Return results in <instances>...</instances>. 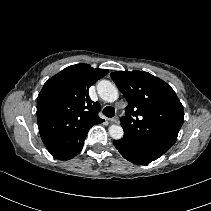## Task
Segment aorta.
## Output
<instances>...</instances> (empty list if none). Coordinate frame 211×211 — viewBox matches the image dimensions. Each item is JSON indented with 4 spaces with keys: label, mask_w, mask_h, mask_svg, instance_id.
I'll list each match as a JSON object with an SVG mask.
<instances>
[{
    "label": "aorta",
    "mask_w": 211,
    "mask_h": 211,
    "mask_svg": "<svg viewBox=\"0 0 211 211\" xmlns=\"http://www.w3.org/2000/svg\"><path fill=\"white\" fill-rule=\"evenodd\" d=\"M97 92L100 98L108 103L115 102L119 96L117 87L108 80H102L98 83ZM109 134L113 139L119 140L123 137L124 131L120 125H111Z\"/></svg>",
    "instance_id": "aorta-1"
}]
</instances>
